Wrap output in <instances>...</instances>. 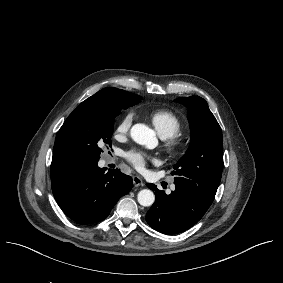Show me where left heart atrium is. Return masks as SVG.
<instances>
[{
  "label": "left heart atrium",
  "instance_id": "obj_1",
  "mask_svg": "<svg viewBox=\"0 0 283 283\" xmlns=\"http://www.w3.org/2000/svg\"><path fill=\"white\" fill-rule=\"evenodd\" d=\"M127 160L136 168L143 169L146 164L156 161L155 157L140 150H131L126 153Z\"/></svg>",
  "mask_w": 283,
  "mask_h": 283
}]
</instances>
